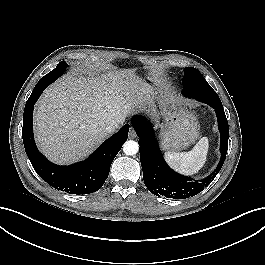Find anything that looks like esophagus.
I'll use <instances>...</instances> for the list:
<instances>
[{
	"instance_id": "1",
	"label": "esophagus",
	"mask_w": 265,
	"mask_h": 265,
	"mask_svg": "<svg viewBox=\"0 0 265 265\" xmlns=\"http://www.w3.org/2000/svg\"><path fill=\"white\" fill-rule=\"evenodd\" d=\"M136 137H137V135H136V132H135L134 128L133 127H130V130H129V138L135 139Z\"/></svg>"
}]
</instances>
